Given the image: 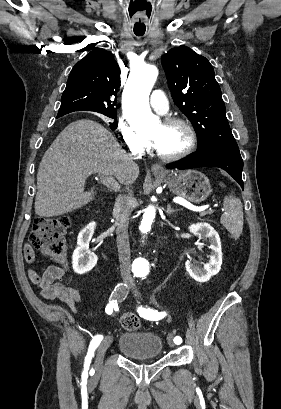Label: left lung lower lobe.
Wrapping results in <instances>:
<instances>
[{"instance_id":"0a47b994","label":"left lung lower lobe","mask_w":281,"mask_h":409,"mask_svg":"<svg viewBox=\"0 0 281 409\" xmlns=\"http://www.w3.org/2000/svg\"><path fill=\"white\" fill-rule=\"evenodd\" d=\"M195 167H219L228 172L244 189L242 181L243 160L239 149L224 147H200L184 160L167 165L168 169Z\"/></svg>"}]
</instances>
